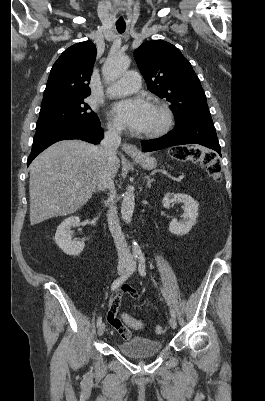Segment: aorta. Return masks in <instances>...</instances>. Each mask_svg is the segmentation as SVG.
<instances>
[{"instance_id": "obj_1", "label": "aorta", "mask_w": 265, "mask_h": 401, "mask_svg": "<svg viewBox=\"0 0 265 401\" xmlns=\"http://www.w3.org/2000/svg\"><path fill=\"white\" fill-rule=\"evenodd\" d=\"M130 64L129 58H115V60H111V58H107L103 64L102 72L105 76V80H117L120 78L122 72L127 70ZM135 207V194H134V186H128L121 205V215L123 221L125 223H131L132 215L134 213ZM133 255H142L141 247L137 245V243H133Z\"/></svg>"}]
</instances>
